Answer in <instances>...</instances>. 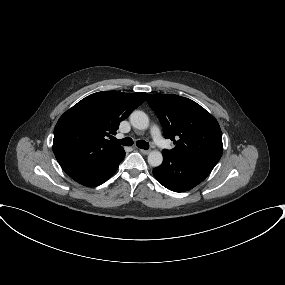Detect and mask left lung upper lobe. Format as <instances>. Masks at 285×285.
<instances>
[{"label": "left lung upper lobe", "mask_w": 285, "mask_h": 285, "mask_svg": "<svg viewBox=\"0 0 285 285\" xmlns=\"http://www.w3.org/2000/svg\"><path fill=\"white\" fill-rule=\"evenodd\" d=\"M147 102L162 124L164 137L175 144L173 149L162 153L215 167L223 152L222 134L209 112L178 95L151 94Z\"/></svg>", "instance_id": "left-lung-upper-lobe-1"}]
</instances>
